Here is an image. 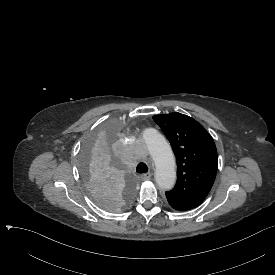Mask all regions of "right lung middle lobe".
Listing matches in <instances>:
<instances>
[{
    "label": "right lung middle lobe",
    "instance_id": "obj_1",
    "mask_svg": "<svg viewBox=\"0 0 275 275\" xmlns=\"http://www.w3.org/2000/svg\"><path fill=\"white\" fill-rule=\"evenodd\" d=\"M120 134L111 125H101L89 135L83 150L84 180L95 204L118 212L134 202L132 177L116 168Z\"/></svg>",
    "mask_w": 275,
    "mask_h": 275
}]
</instances>
